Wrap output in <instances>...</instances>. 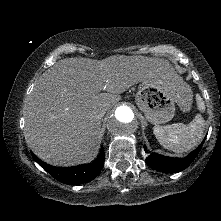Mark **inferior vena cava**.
Masks as SVG:
<instances>
[{"instance_id":"obj_1","label":"inferior vena cava","mask_w":221,"mask_h":221,"mask_svg":"<svg viewBox=\"0 0 221 221\" xmlns=\"http://www.w3.org/2000/svg\"><path fill=\"white\" fill-rule=\"evenodd\" d=\"M106 109H101L98 113H97V118L102 119L106 113Z\"/></svg>"}]
</instances>
